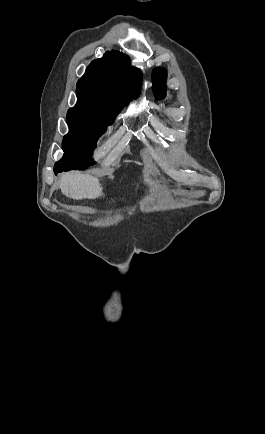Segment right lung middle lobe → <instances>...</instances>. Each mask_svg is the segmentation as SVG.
Returning <instances> with one entry per match:
<instances>
[{
	"label": "right lung middle lobe",
	"instance_id": "1",
	"mask_svg": "<svg viewBox=\"0 0 265 434\" xmlns=\"http://www.w3.org/2000/svg\"><path fill=\"white\" fill-rule=\"evenodd\" d=\"M77 104L67 114L69 133L64 137V156L54 169H83L93 164L97 139L114 122L125 104L114 102L93 91H77Z\"/></svg>",
	"mask_w": 265,
	"mask_h": 434
}]
</instances>
